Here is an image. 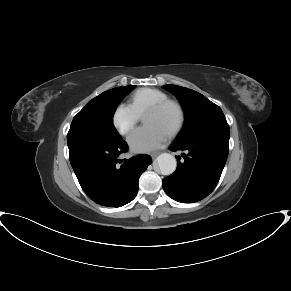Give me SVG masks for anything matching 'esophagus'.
<instances>
[{"mask_svg":"<svg viewBox=\"0 0 291 291\" xmlns=\"http://www.w3.org/2000/svg\"><path fill=\"white\" fill-rule=\"evenodd\" d=\"M159 155V152H154L151 154V157L154 159Z\"/></svg>","mask_w":291,"mask_h":291,"instance_id":"obj_1","label":"esophagus"}]
</instances>
